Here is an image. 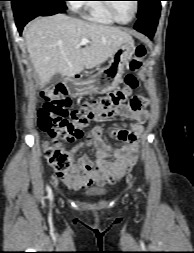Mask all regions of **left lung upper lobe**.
I'll return each instance as SVG.
<instances>
[{"mask_svg":"<svg viewBox=\"0 0 194 253\" xmlns=\"http://www.w3.org/2000/svg\"><path fill=\"white\" fill-rule=\"evenodd\" d=\"M139 3V10H138V15L139 17L143 11L153 2L159 1V0H137Z\"/></svg>","mask_w":194,"mask_h":253,"instance_id":"left-lung-upper-lobe-1","label":"left lung upper lobe"}]
</instances>
